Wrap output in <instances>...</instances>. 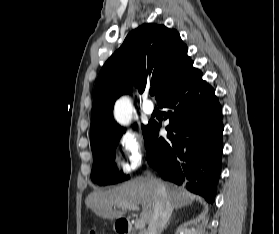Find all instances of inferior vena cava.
Here are the masks:
<instances>
[{
  "mask_svg": "<svg viewBox=\"0 0 279 234\" xmlns=\"http://www.w3.org/2000/svg\"><path fill=\"white\" fill-rule=\"evenodd\" d=\"M150 178L157 185V200L155 201L153 216L145 234H161L172 213V206L164 185L155 177L151 176Z\"/></svg>",
  "mask_w": 279,
  "mask_h": 234,
  "instance_id": "602c4592",
  "label": "inferior vena cava"
}]
</instances>
